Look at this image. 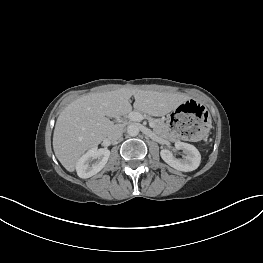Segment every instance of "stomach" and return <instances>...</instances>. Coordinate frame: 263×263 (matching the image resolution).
I'll use <instances>...</instances> for the list:
<instances>
[{
  "label": "stomach",
  "mask_w": 263,
  "mask_h": 263,
  "mask_svg": "<svg viewBox=\"0 0 263 263\" xmlns=\"http://www.w3.org/2000/svg\"><path fill=\"white\" fill-rule=\"evenodd\" d=\"M170 134L186 142L206 138L213 128V117L206 106L195 98L178 101L167 117Z\"/></svg>",
  "instance_id": "obj_1"
}]
</instances>
